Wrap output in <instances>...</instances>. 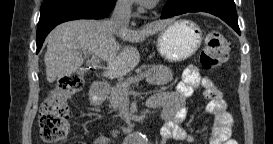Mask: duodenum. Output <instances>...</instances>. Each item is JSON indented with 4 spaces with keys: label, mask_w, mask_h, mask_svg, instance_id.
I'll return each instance as SVG.
<instances>
[{
    "label": "duodenum",
    "mask_w": 273,
    "mask_h": 144,
    "mask_svg": "<svg viewBox=\"0 0 273 144\" xmlns=\"http://www.w3.org/2000/svg\"><path fill=\"white\" fill-rule=\"evenodd\" d=\"M106 91V87L101 82H95L92 87V94L94 96L100 97ZM168 101L164 94H156L150 97L148 100V105L155 109H163L167 106Z\"/></svg>",
    "instance_id": "obj_1"
}]
</instances>
